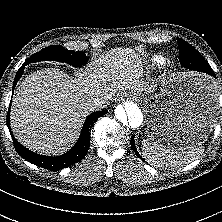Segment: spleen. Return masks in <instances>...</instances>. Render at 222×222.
<instances>
[{
    "instance_id": "1",
    "label": "spleen",
    "mask_w": 222,
    "mask_h": 222,
    "mask_svg": "<svg viewBox=\"0 0 222 222\" xmlns=\"http://www.w3.org/2000/svg\"><path fill=\"white\" fill-rule=\"evenodd\" d=\"M141 148L145 160L155 167H180L195 160L203 152L200 146L173 148L149 139L142 141Z\"/></svg>"
}]
</instances>
